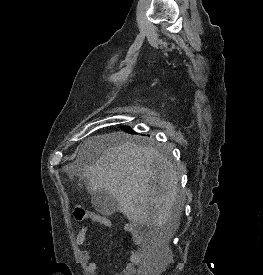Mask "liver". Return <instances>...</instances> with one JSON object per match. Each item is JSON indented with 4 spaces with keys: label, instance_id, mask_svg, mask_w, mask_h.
Segmentation results:
<instances>
[{
    "label": "liver",
    "instance_id": "6515ba94",
    "mask_svg": "<svg viewBox=\"0 0 263 275\" xmlns=\"http://www.w3.org/2000/svg\"><path fill=\"white\" fill-rule=\"evenodd\" d=\"M98 148L103 150L99 158L83 162L78 170L91 193L107 190L133 224H178L183 207V201L178 199V176L161 153L131 141L118 143L114 136H94L81 147L83 153Z\"/></svg>",
    "mask_w": 263,
    "mask_h": 275
}]
</instances>
